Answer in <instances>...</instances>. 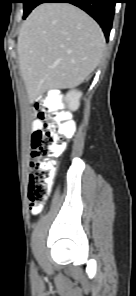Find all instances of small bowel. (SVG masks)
Wrapping results in <instances>:
<instances>
[{
	"instance_id": "c3829d8e",
	"label": "small bowel",
	"mask_w": 136,
	"mask_h": 296,
	"mask_svg": "<svg viewBox=\"0 0 136 296\" xmlns=\"http://www.w3.org/2000/svg\"><path fill=\"white\" fill-rule=\"evenodd\" d=\"M39 126H40V123H39L38 121H35V122L33 123V130H37V129L39 128ZM41 209H42V208H40L39 211H37V212H32V213H33V214H37V213H39V212L41 211Z\"/></svg>"
}]
</instances>
